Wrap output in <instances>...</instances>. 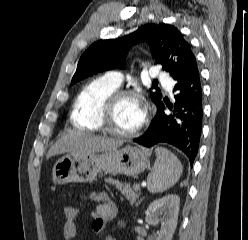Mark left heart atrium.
Returning a JSON list of instances; mask_svg holds the SVG:
<instances>
[{"label": "left heart atrium", "mask_w": 248, "mask_h": 240, "mask_svg": "<svg viewBox=\"0 0 248 240\" xmlns=\"http://www.w3.org/2000/svg\"><path fill=\"white\" fill-rule=\"evenodd\" d=\"M145 115H146L145 108L142 105L141 100L138 99V107H137V111H136V123L138 125H140L143 122Z\"/></svg>", "instance_id": "39dd6f15"}]
</instances>
